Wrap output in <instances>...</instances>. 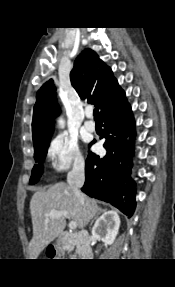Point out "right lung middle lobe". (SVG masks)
Returning <instances> with one entry per match:
<instances>
[{
    "instance_id": "1",
    "label": "right lung middle lobe",
    "mask_w": 175,
    "mask_h": 287,
    "mask_svg": "<svg viewBox=\"0 0 175 287\" xmlns=\"http://www.w3.org/2000/svg\"><path fill=\"white\" fill-rule=\"evenodd\" d=\"M51 137H48L46 139H43L39 142L34 143V158L36 161V164L34 165V168L32 170V176L30 178V184H35L40 179L42 173H43V161L45 159V156L47 154V149L49 147Z\"/></svg>"
}]
</instances>
